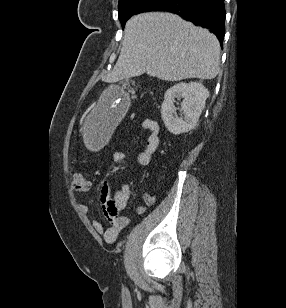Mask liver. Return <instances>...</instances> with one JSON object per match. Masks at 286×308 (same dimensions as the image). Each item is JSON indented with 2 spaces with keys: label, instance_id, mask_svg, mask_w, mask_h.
I'll list each match as a JSON object with an SVG mask.
<instances>
[{
  "label": "liver",
  "instance_id": "1",
  "mask_svg": "<svg viewBox=\"0 0 286 308\" xmlns=\"http://www.w3.org/2000/svg\"><path fill=\"white\" fill-rule=\"evenodd\" d=\"M219 63L214 34L177 15L149 12L127 21L119 58L105 79L112 83L143 73L165 81L214 79Z\"/></svg>",
  "mask_w": 286,
  "mask_h": 308
}]
</instances>
